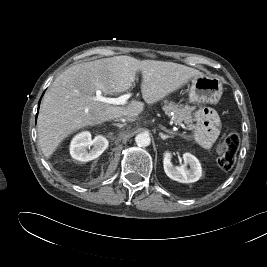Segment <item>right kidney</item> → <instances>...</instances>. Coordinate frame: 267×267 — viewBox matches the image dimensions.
<instances>
[{
    "instance_id": "right-kidney-1",
    "label": "right kidney",
    "mask_w": 267,
    "mask_h": 267,
    "mask_svg": "<svg viewBox=\"0 0 267 267\" xmlns=\"http://www.w3.org/2000/svg\"><path fill=\"white\" fill-rule=\"evenodd\" d=\"M108 140L102 135L92 139L90 132L84 131L77 134L70 143L72 158L88 162L99 157L108 147Z\"/></svg>"
}]
</instances>
